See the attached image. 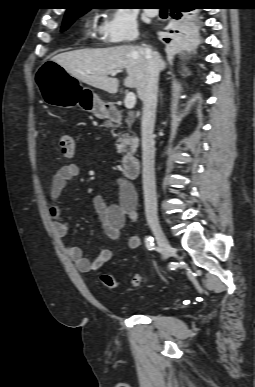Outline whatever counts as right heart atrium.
I'll list each match as a JSON object with an SVG mask.
<instances>
[{
  "instance_id": "d8ad5b80",
  "label": "right heart atrium",
  "mask_w": 255,
  "mask_h": 387,
  "mask_svg": "<svg viewBox=\"0 0 255 387\" xmlns=\"http://www.w3.org/2000/svg\"><path fill=\"white\" fill-rule=\"evenodd\" d=\"M99 35L108 45L132 42L139 36L136 17L129 9H114L100 26Z\"/></svg>"
}]
</instances>
